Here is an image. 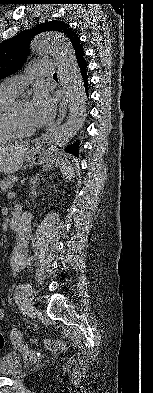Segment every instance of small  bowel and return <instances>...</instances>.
I'll return each mask as SVG.
<instances>
[{"mask_svg": "<svg viewBox=\"0 0 153 393\" xmlns=\"http://www.w3.org/2000/svg\"><path fill=\"white\" fill-rule=\"evenodd\" d=\"M3 316H4V308L0 306V320L3 318Z\"/></svg>", "mask_w": 153, "mask_h": 393, "instance_id": "c3829d8e", "label": "small bowel"}]
</instances>
